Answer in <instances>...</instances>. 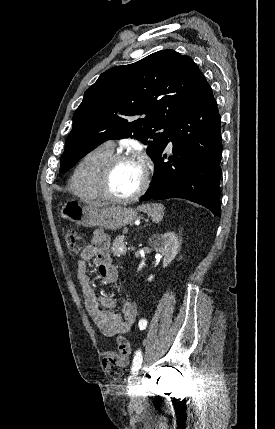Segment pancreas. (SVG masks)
<instances>
[{"label":"pancreas","mask_w":275,"mask_h":429,"mask_svg":"<svg viewBox=\"0 0 275 429\" xmlns=\"http://www.w3.org/2000/svg\"><path fill=\"white\" fill-rule=\"evenodd\" d=\"M112 253L114 256H122L126 254V247L124 244V237L118 236L112 245Z\"/></svg>","instance_id":"1"}]
</instances>
